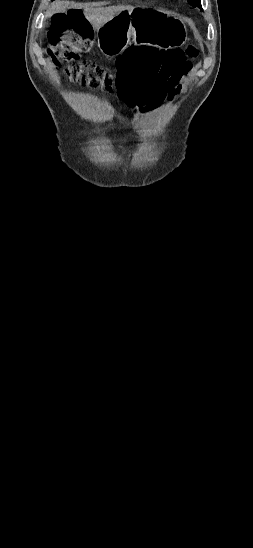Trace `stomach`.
Returning a JSON list of instances; mask_svg holds the SVG:
<instances>
[{"label":"stomach","mask_w":253,"mask_h":548,"mask_svg":"<svg viewBox=\"0 0 253 548\" xmlns=\"http://www.w3.org/2000/svg\"><path fill=\"white\" fill-rule=\"evenodd\" d=\"M182 21L161 12L134 8L114 16L97 29L98 47L106 56L122 53L131 40L136 44L178 46L185 41Z\"/></svg>","instance_id":"obj_1"}]
</instances>
